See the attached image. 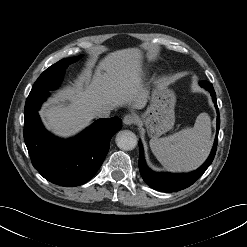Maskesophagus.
Instances as JSON below:
<instances>
[{
	"label": "esophagus",
	"mask_w": 247,
	"mask_h": 247,
	"mask_svg": "<svg viewBox=\"0 0 247 247\" xmlns=\"http://www.w3.org/2000/svg\"><path fill=\"white\" fill-rule=\"evenodd\" d=\"M138 120L137 115L130 113L124 116L123 122L125 125H132L135 124Z\"/></svg>",
	"instance_id": "34e87169"
}]
</instances>
